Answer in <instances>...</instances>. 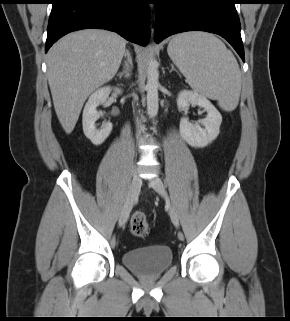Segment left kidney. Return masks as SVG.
Listing matches in <instances>:
<instances>
[{
    "label": "left kidney",
    "mask_w": 290,
    "mask_h": 321,
    "mask_svg": "<svg viewBox=\"0 0 290 321\" xmlns=\"http://www.w3.org/2000/svg\"><path fill=\"white\" fill-rule=\"evenodd\" d=\"M180 108H188L190 104L198 105L207 112V117L200 124H192L186 118H181L180 134L182 138L192 147L202 148L215 140L219 134L222 116L213 104L203 95L197 92L184 90L177 97Z\"/></svg>",
    "instance_id": "left-kidney-1"
}]
</instances>
